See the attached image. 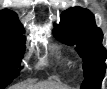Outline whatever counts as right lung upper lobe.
Here are the masks:
<instances>
[{
  "label": "right lung upper lobe",
  "mask_w": 107,
  "mask_h": 89,
  "mask_svg": "<svg viewBox=\"0 0 107 89\" xmlns=\"http://www.w3.org/2000/svg\"><path fill=\"white\" fill-rule=\"evenodd\" d=\"M0 25L22 28L16 13L7 9L0 11Z\"/></svg>",
  "instance_id": "right-lung-upper-lobe-1"
}]
</instances>
